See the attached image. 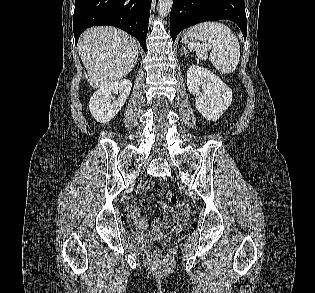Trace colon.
<instances>
[{
  "label": "colon",
  "instance_id": "1",
  "mask_svg": "<svg viewBox=\"0 0 315 293\" xmlns=\"http://www.w3.org/2000/svg\"><path fill=\"white\" fill-rule=\"evenodd\" d=\"M167 198H168L173 204H176V205L178 206L179 211H184L185 214L188 212V210H189V205H188V203H186V202H179V201L177 200V197H176L175 195H173V194H167ZM156 254H157L159 257L163 258V257L165 256V251H164L163 248L158 247V248L156 249Z\"/></svg>",
  "mask_w": 315,
  "mask_h": 293
}]
</instances>
